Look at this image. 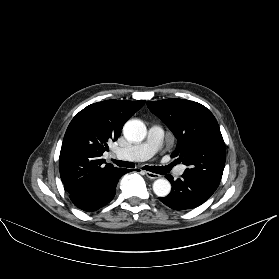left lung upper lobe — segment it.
Masks as SVG:
<instances>
[{
    "instance_id": "1",
    "label": "left lung upper lobe",
    "mask_w": 279,
    "mask_h": 279,
    "mask_svg": "<svg viewBox=\"0 0 279 279\" xmlns=\"http://www.w3.org/2000/svg\"><path fill=\"white\" fill-rule=\"evenodd\" d=\"M147 106L177 138L171 157L187 166L184 174L217 189L226 148L213 114L205 106L183 99L152 101Z\"/></svg>"
}]
</instances>
